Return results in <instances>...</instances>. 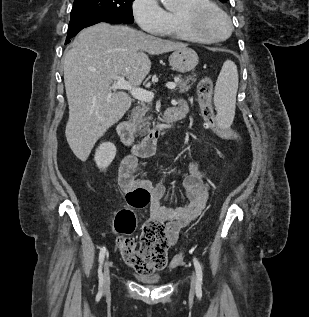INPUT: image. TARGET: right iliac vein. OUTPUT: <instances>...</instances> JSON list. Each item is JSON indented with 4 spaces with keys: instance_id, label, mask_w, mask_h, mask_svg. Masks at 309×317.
Segmentation results:
<instances>
[{
    "instance_id": "1",
    "label": "right iliac vein",
    "mask_w": 309,
    "mask_h": 317,
    "mask_svg": "<svg viewBox=\"0 0 309 317\" xmlns=\"http://www.w3.org/2000/svg\"><path fill=\"white\" fill-rule=\"evenodd\" d=\"M110 287V261L107 259L104 264L103 288L108 290Z\"/></svg>"
}]
</instances>
